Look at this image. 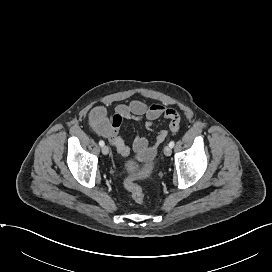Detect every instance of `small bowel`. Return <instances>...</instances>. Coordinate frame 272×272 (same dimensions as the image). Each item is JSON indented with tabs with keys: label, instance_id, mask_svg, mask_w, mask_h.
Instances as JSON below:
<instances>
[{
	"label": "small bowel",
	"instance_id": "obj_1",
	"mask_svg": "<svg viewBox=\"0 0 272 272\" xmlns=\"http://www.w3.org/2000/svg\"><path fill=\"white\" fill-rule=\"evenodd\" d=\"M116 114L121 120L143 121L148 129H152L161 120L169 122V129L173 133L178 132L180 127L179 113L175 109L162 104L148 105L142 101L134 100L128 104H120L116 109ZM97 132L109 140L120 156L126 158L130 155L129 146L120 136V125L106 124L103 127H98ZM166 137V130H160L152 143L144 136H137L132 144L136 153L135 158L152 161Z\"/></svg>",
	"mask_w": 272,
	"mask_h": 272
}]
</instances>
